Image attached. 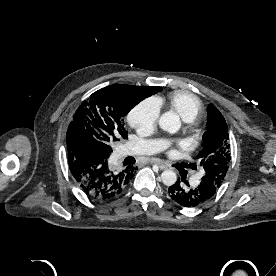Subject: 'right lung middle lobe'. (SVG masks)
<instances>
[{"label": "right lung middle lobe", "instance_id": "1", "mask_svg": "<svg viewBox=\"0 0 276 276\" xmlns=\"http://www.w3.org/2000/svg\"><path fill=\"white\" fill-rule=\"evenodd\" d=\"M162 87L110 85L91 94L78 107L67 131V147L86 143L103 156H110L112 143L127 138L123 117L143 99Z\"/></svg>", "mask_w": 276, "mask_h": 276}]
</instances>
